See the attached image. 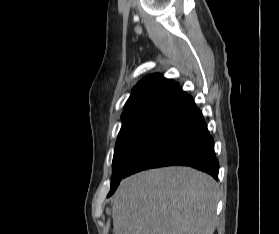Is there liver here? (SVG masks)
<instances>
[{
	"label": "liver",
	"mask_w": 279,
	"mask_h": 234,
	"mask_svg": "<svg viewBox=\"0 0 279 234\" xmlns=\"http://www.w3.org/2000/svg\"><path fill=\"white\" fill-rule=\"evenodd\" d=\"M218 185L190 167L152 169L120 183L112 201L114 234H213Z\"/></svg>",
	"instance_id": "6515ba94"
}]
</instances>
